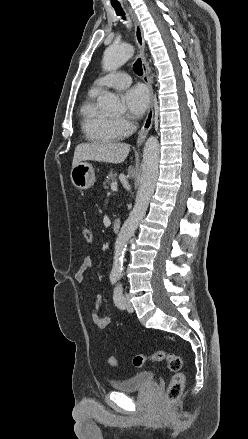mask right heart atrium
I'll use <instances>...</instances> for the list:
<instances>
[{"label": "right heart atrium", "instance_id": "1", "mask_svg": "<svg viewBox=\"0 0 248 439\" xmlns=\"http://www.w3.org/2000/svg\"><path fill=\"white\" fill-rule=\"evenodd\" d=\"M115 124L117 129L124 135L128 134L133 129V124L125 118L115 119Z\"/></svg>", "mask_w": 248, "mask_h": 439}]
</instances>
